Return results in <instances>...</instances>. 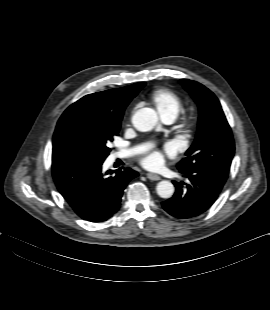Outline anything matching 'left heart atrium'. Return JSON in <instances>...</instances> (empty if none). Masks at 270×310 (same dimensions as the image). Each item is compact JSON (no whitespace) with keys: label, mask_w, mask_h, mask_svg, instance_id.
I'll use <instances>...</instances> for the list:
<instances>
[{"label":"left heart atrium","mask_w":270,"mask_h":310,"mask_svg":"<svg viewBox=\"0 0 270 310\" xmlns=\"http://www.w3.org/2000/svg\"><path fill=\"white\" fill-rule=\"evenodd\" d=\"M163 153L172 155L173 150L170 146H167L163 151L153 150L143 157L142 164L146 167L158 166L162 161Z\"/></svg>","instance_id":"39dd6f15"}]
</instances>
